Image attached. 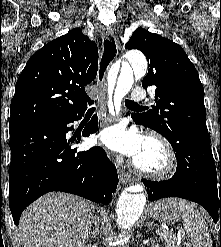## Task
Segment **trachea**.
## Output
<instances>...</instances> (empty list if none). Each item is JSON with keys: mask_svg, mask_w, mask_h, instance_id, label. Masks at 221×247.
<instances>
[{"mask_svg": "<svg viewBox=\"0 0 221 247\" xmlns=\"http://www.w3.org/2000/svg\"><path fill=\"white\" fill-rule=\"evenodd\" d=\"M125 104L128 108H131L133 110H139V109L145 108L144 106H140L137 103H135L134 101H131L128 99L125 100ZM93 109H94V107L91 108L90 110H93Z\"/></svg>", "mask_w": 221, "mask_h": 247, "instance_id": "trachea-1", "label": "trachea"}]
</instances>
